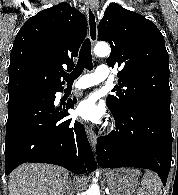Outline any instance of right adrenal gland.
I'll return each mask as SVG.
<instances>
[{
  "label": "right adrenal gland",
  "mask_w": 178,
  "mask_h": 195,
  "mask_svg": "<svg viewBox=\"0 0 178 195\" xmlns=\"http://www.w3.org/2000/svg\"><path fill=\"white\" fill-rule=\"evenodd\" d=\"M70 184H71V182L69 181V182H68V189L71 188Z\"/></svg>",
  "instance_id": "obj_1"
}]
</instances>
